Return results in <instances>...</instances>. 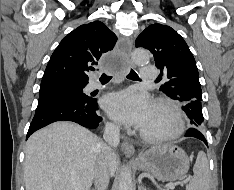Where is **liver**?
I'll return each mask as SVG.
<instances>
[{"instance_id": "liver-1", "label": "liver", "mask_w": 234, "mask_h": 190, "mask_svg": "<svg viewBox=\"0 0 234 190\" xmlns=\"http://www.w3.org/2000/svg\"><path fill=\"white\" fill-rule=\"evenodd\" d=\"M101 144L88 129L67 121L35 132L25 148L26 190H89ZM117 166L115 154L110 160L111 175Z\"/></svg>"}]
</instances>
